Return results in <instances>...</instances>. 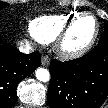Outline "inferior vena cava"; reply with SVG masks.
Instances as JSON below:
<instances>
[{"mask_svg": "<svg viewBox=\"0 0 108 108\" xmlns=\"http://www.w3.org/2000/svg\"><path fill=\"white\" fill-rule=\"evenodd\" d=\"M18 49L22 53L29 54L31 51H33L34 48L31 42L24 40L18 43Z\"/></svg>", "mask_w": 108, "mask_h": 108, "instance_id": "602c4592", "label": "inferior vena cava"}]
</instances>
